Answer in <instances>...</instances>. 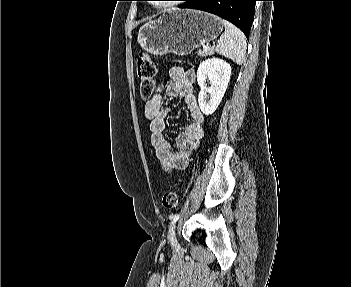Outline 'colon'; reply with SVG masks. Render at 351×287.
I'll return each instance as SVG.
<instances>
[{
    "label": "colon",
    "mask_w": 351,
    "mask_h": 287,
    "mask_svg": "<svg viewBox=\"0 0 351 287\" xmlns=\"http://www.w3.org/2000/svg\"><path fill=\"white\" fill-rule=\"evenodd\" d=\"M156 65L153 59L146 53L137 57V76L140 80V93L144 99L150 98L155 90ZM179 197L174 191L164 194L162 204L166 209H175L178 206Z\"/></svg>",
    "instance_id": "obj_1"
}]
</instances>
